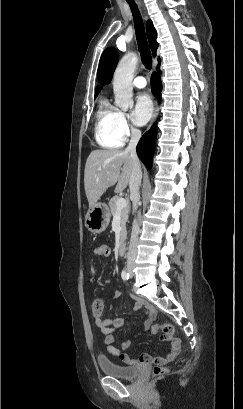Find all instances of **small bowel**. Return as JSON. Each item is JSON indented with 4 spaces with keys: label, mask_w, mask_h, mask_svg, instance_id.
<instances>
[{
    "label": "small bowel",
    "mask_w": 243,
    "mask_h": 409,
    "mask_svg": "<svg viewBox=\"0 0 243 409\" xmlns=\"http://www.w3.org/2000/svg\"><path fill=\"white\" fill-rule=\"evenodd\" d=\"M95 255L104 259L108 258L112 254V250L110 247L106 245H98L94 250ZM122 294H126L129 297L133 298L134 296L126 289L121 291ZM140 308H144L146 320L144 322V330L150 331L152 329V324L156 318V310L155 308L146 303L141 299H137L134 311L139 310ZM95 324L99 327L101 331V335L103 337L104 343L106 344L107 352L113 356L121 359L126 364H146L150 362H154L156 364L164 365L168 363L174 362L181 354V340L179 338L174 337L172 334H164L161 337V342L167 344L169 346L168 352L164 356L158 357H151L149 355H141L137 359L130 357L128 354L121 352L120 349L116 348L112 345L114 341L113 332L121 328L123 326V320L120 318H106L100 312L97 315H94ZM131 345V340H124L121 343V348L123 350L128 349Z\"/></svg>",
    "instance_id": "c3829d8e"
}]
</instances>
